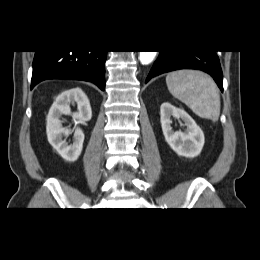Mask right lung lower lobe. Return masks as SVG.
Masks as SVG:
<instances>
[{
    "instance_id": "right-lung-lower-lobe-1",
    "label": "right lung lower lobe",
    "mask_w": 260,
    "mask_h": 260,
    "mask_svg": "<svg viewBox=\"0 0 260 260\" xmlns=\"http://www.w3.org/2000/svg\"><path fill=\"white\" fill-rule=\"evenodd\" d=\"M107 51H36L31 89L48 79H73L93 82L105 90Z\"/></svg>"
}]
</instances>
